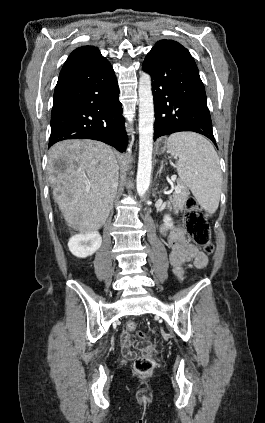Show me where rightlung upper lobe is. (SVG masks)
I'll return each mask as SVG.
<instances>
[{
    "label": "right lung upper lobe",
    "mask_w": 265,
    "mask_h": 423,
    "mask_svg": "<svg viewBox=\"0 0 265 423\" xmlns=\"http://www.w3.org/2000/svg\"><path fill=\"white\" fill-rule=\"evenodd\" d=\"M95 55L99 56V57H103L96 47L83 46V47H79V48L75 49L71 53V55L68 57V59L74 58V57H79V56H95Z\"/></svg>",
    "instance_id": "1"
}]
</instances>
